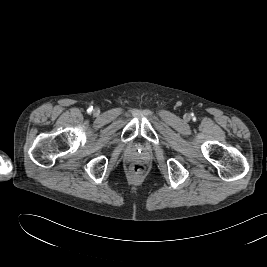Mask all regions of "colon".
<instances>
[{
	"instance_id": "obj_1",
	"label": "colon",
	"mask_w": 267,
	"mask_h": 267,
	"mask_svg": "<svg viewBox=\"0 0 267 267\" xmlns=\"http://www.w3.org/2000/svg\"><path fill=\"white\" fill-rule=\"evenodd\" d=\"M144 172V166L141 164H133L131 166V173L135 176H140L142 175Z\"/></svg>"
}]
</instances>
